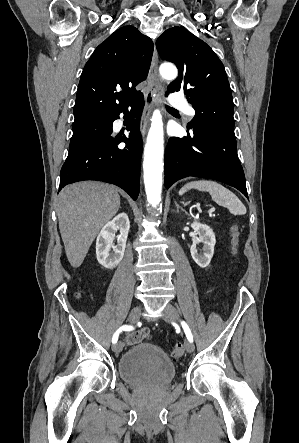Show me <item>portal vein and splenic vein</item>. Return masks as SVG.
<instances>
[{"label":"portal vein and splenic vein","mask_w":299,"mask_h":443,"mask_svg":"<svg viewBox=\"0 0 299 443\" xmlns=\"http://www.w3.org/2000/svg\"><path fill=\"white\" fill-rule=\"evenodd\" d=\"M214 211H215V208H211V209L209 210L210 213H212V212H214Z\"/></svg>","instance_id":"portal-vein-and-splenic-vein-1"}]
</instances>
